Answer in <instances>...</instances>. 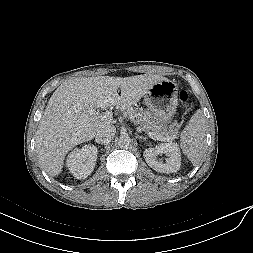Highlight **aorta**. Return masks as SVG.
Wrapping results in <instances>:
<instances>
[{"mask_svg":"<svg viewBox=\"0 0 253 253\" xmlns=\"http://www.w3.org/2000/svg\"><path fill=\"white\" fill-rule=\"evenodd\" d=\"M132 140L128 135H121L118 139V146L127 149L131 146Z\"/></svg>","mask_w":253,"mask_h":253,"instance_id":"1","label":"aorta"}]
</instances>
